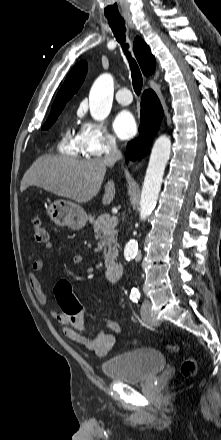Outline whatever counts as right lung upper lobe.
<instances>
[{
	"label": "right lung upper lobe",
	"instance_id": "cb5924a9",
	"mask_svg": "<svg viewBox=\"0 0 221 440\" xmlns=\"http://www.w3.org/2000/svg\"><path fill=\"white\" fill-rule=\"evenodd\" d=\"M134 53L141 66L143 73L148 76L155 71V58L151 54L150 48L140 37L134 40ZM87 73V63L85 61L78 62L69 72L63 86L60 88L56 99L52 105V109L65 106L66 102L78 91L84 81Z\"/></svg>",
	"mask_w": 221,
	"mask_h": 440
}]
</instances>
